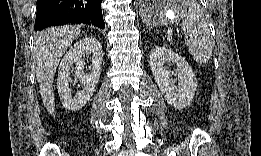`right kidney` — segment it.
<instances>
[{"instance_id": "right-kidney-1", "label": "right kidney", "mask_w": 261, "mask_h": 156, "mask_svg": "<svg viewBox=\"0 0 261 156\" xmlns=\"http://www.w3.org/2000/svg\"><path fill=\"white\" fill-rule=\"evenodd\" d=\"M92 55V68L89 73H82L84 67L83 57ZM102 46L94 37H85L76 42L63 57L58 69V93L63 105L72 111L82 108L92 96L95 87L99 81L102 66ZM75 65V80H79L82 84V90L72 96L69 83L72 81L70 77V69Z\"/></svg>"}]
</instances>
